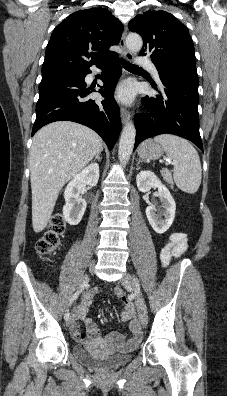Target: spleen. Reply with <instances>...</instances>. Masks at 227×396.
<instances>
[{
	"instance_id": "3e777b00",
	"label": "spleen",
	"mask_w": 227,
	"mask_h": 396,
	"mask_svg": "<svg viewBox=\"0 0 227 396\" xmlns=\"http://www.w3.org/2000/svg\"><path fill=\"white\" fill-rule=\"evenodd\" d=\"M162 145L166 155L173 160V178L179 189L194 194L202 178L199 155L196 149L185 139L171 134H162L154 138Z\"/></svg>"
}]
</instances>
